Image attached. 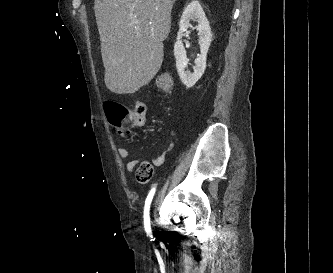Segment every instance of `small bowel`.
I'll return each mask as SVG.
<instances>
[{
    "instance_id": "c3829d8e",
    "label": "small bowel",
    "mask_w": 333,
    "mask_h": 273,
    "mask_svg": "<svg viewBox=\"0 0 333 273\" xmlns=\"http://www.w3.org/2000/svg\"><path fill=\"white\" fill-rule=\"evenodd\" d=\"M147 104L144 100H133L132 101V107L131 112L135 113V122L139 123L138 126H142L144 123L148 122V112L146 111ZM175 142L172 141L160 155L154 157L151 159L152 165L156 167L162 166L168 155L172 152L174 149ZM118 154L122 159H129L126 163V170L129 172H132L136 166L138 165V160L130 159V151L126 147H119Z\"/></svg>"
}]
</instances>
